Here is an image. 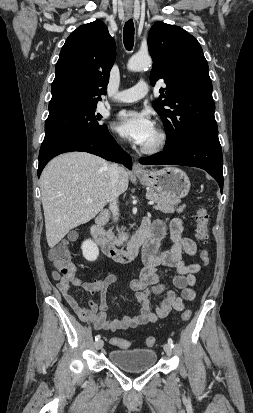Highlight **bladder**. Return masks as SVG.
<instances>
[{
	"label": "bladder",
	"instance_id": "obj_1",
	"mask_svg": "<svg viewBox=\"0 0 253 413\" xmlns=\"http://www.w3.org/2000/svg\"><path fill=\"white\" fill-rule=\"evenodd\" d=\"M110 362L126 372H142L152 368L157 361V353L151 348L114 349L109 353Z\"/></svg>",
	"mask_w": 253,
	"mask_h": 413
}]
</instances>
